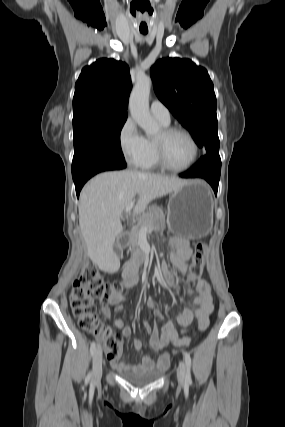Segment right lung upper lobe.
Listing matches in <instances>:
<instances>
[{"mask_svg":"<svg viewBox=\"0 0 285 427\" xmlns=\"http://www.w3.org/2000/svg\"><path fill=\"white\" fill-rule=\"evenodd\" d=\"M132 88L129 67L102 58L82 69L75 85L73 118L84 115L127 117Z\"/></svg>","mask_w":285,"mask_h":427,"instance_id":"obj_1","label":"right lung upper lobe"}]
</instances>
